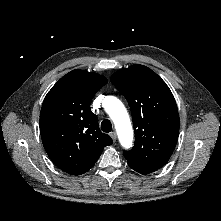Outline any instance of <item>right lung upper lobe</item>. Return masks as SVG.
<instances>
[{
    "mask_svg": "<svg viewBox=\"0 0 221 221\" xmlns=\"http://www.w3.org/2000/svg\"><path fill=\"white\" fill-rule=\"evenodd\" d=\"M108 80L97 73L73 70L46 95L40 112V134L52 162L72 175L87 172L113 140L100 131L90 104Z\"/></svg>",
    "mask_w": 221,
    "mask_h": 221,
    "instance_id": "right-lung-upper-lobe-1",
    "label": "right lung upper lobe"
}]
</instances>
